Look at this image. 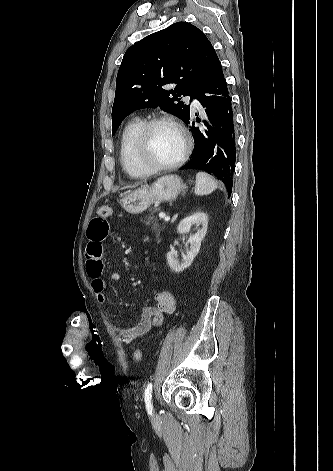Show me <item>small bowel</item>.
<instances>
[{"mask_svg": "<svg viewBox=\"0 0 333 471\" xmlns=\"http://www.w3.org/2000/svg\"><path fill=\"white\" fill-rule=\"evenodd\" d=\"M109 232L107 217L98 215L90 220L87 230L86 270L92 279L91 285L96 300L101 304L107 301L102 257L103 241L108 237ZM108 278L112 282H117L120 281L121 274L114 271L109 274ZM176 305V298L170 291H159L154 295L153 303L143 307L142 317L137 325L133 327L116 326L114 330L123 343L129 344L147 334L153 327L160 326L165 315L175 311Z\"/></svg>", "mask_w": 333, "mask_h": 471, "instance_id": "1", "label": "small bowel"}]
</instances>
